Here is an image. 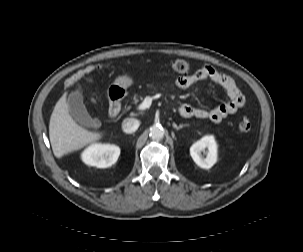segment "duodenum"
<instances>
[{"label":"duodenum","mask_w":303,"mask_h":252,"mask_svg":"<svg viewBox=\"0 0 303 252\" xmlns=\"http://www.w3.org/2000/svg\"><path fill=\"white\" fill-rule=\"evenodd\" d=\"M124 95L122 88H115L111 94V104L109 114L111 118H115L121 111V102Z\"/></svg>","instance_id":"obj_1"}]
</instances>
